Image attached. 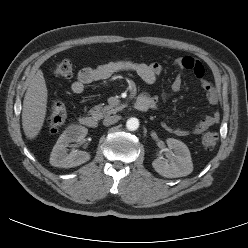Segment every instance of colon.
<instances>
[{
	"mask_svg": "<svg viewBox=\"0 0 248 248\" xmlns=\"http://www.w3.org/2000/svg\"><path fill=\"white\" fill-rule=\"evenodd\" d=\"M73 63L70 59H63L54 68V74L60 78H70L73 75ZM67 110L63 103L54 102L50 109L48 128L56 132L66 121ZM216 131H206L201 135V143L205 149H213L218 142Z\"/></svg>",
	"mask_w": 248,
	"mask_h": 248,
	"instance_id": "obj_1",
	"label": "colon"
}]
</instances>
